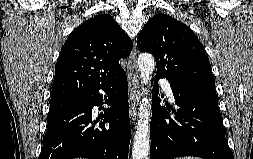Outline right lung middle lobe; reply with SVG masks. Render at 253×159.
Instances as JSON below:
<instances>
[{
	"label": "right lung middle lobe",
	"mask_w": 253,
	"mask_h": 159,
	"mask_svg": "<svg viewBox=\"0 0 253 159\" xmlns=\"http://www.w3.org/2000/svg\"><path fill=\"white\" fill-rule=\"evenodd\" d=\"M78 99L62 100L56 102H50V113L48 118L56 115L57 113L73 106Z\"/></svg>",
	"instance_id": "1"
}]
</instances>
